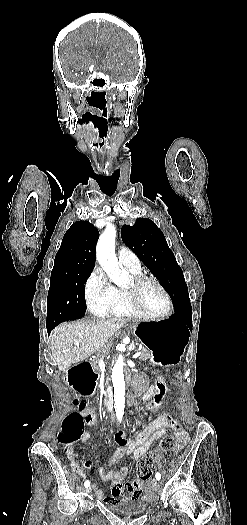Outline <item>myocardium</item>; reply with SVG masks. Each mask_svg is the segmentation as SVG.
<instances>
[{
  "mask_svg": "<svg viewBox=\"0 0 247 525\" xmlns=\"http://www.w3.org/2000/svg\"><path fill=\"white\" fill-rule=\"evenodd\" d=\"M145 281H151L155 283L163 292L166 298V306L158 311V312H152L145 308L143 305L140 297H139V288ZM131 295L135 298L136 301V309L145 315L146 317H154V319L162 318L170 313L172 309V298L166 289V287L161 283L159 279H157L154 276L141 274L139 277H132L129 280V286L127 287Z\"/></svg>",
  "mask_w": 247,
  "mask_h": 525,
  "instance_id": "myocardium-1",
  "label": "myocardium"
}]
</instances>
